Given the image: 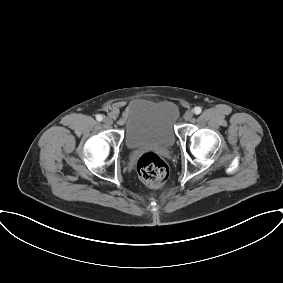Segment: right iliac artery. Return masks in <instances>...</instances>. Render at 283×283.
<instances>
[{
    "label": "right iliac artery",
    "mask_w": 283,
    "mask_h": 283,
    "mask_svg": "<svg viewBox=\"0 0 283 283\" xmlns=\"http://www.w3.org/2000/svg\"><path fill=\"white\" fill-rule=\"evenodd\" d=\"M96 119H97V121H102L103 120V116L102 115H97Z\"/></svg>",
    "instance_id": "right-iliac-artery-1"
}]
</instances>
